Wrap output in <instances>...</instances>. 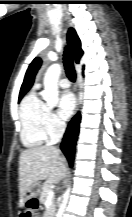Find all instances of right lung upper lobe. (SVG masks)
<instances>
[{"mask_svg": "<svg viewBox=\"0 0 132 217\" xmlns=\"http://www.w3.org/2000/svg\"><path fill=\"white\" fill-rule=\"evenodd\" d=\"M67 38H68V43H69L70 48L72 50L73 56L75 58V61L78 63L82 54H83V51L81 49L80 40H79V38H78V36H77V34L73 28L69 29L68 34H67ZM41 63H42L41 59L37 57L30 64V66L26 72L23 84L21 86L19 99H21L25 95V93L31 88V86L34 82V77H35L38 69L40 68Z\"/></svg>", "mask_w": 132, "mask_h": 217, "instance_id": "1", "label": "right lung upper lobe"}]
</instances>
